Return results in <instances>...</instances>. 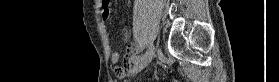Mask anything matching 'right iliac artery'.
I'll list each match as a JSON object with an SVG mask.
<instances>
[{
    "label": "right iliac artery",
    "instance_id": "obj_1",
    "mask_svg": "<svg viewBox=\"0 0 279 82\" xmlns=\"http://www.w3.org/2000/svg\"><path fill=\"white\" fill-rule=\"evenodd\" d=\"M142 57L140 55L136 56L134 63H137Z\"/></svg>",
    "mask_w": 279,
    "mask_h": 82
}]
</instances>
